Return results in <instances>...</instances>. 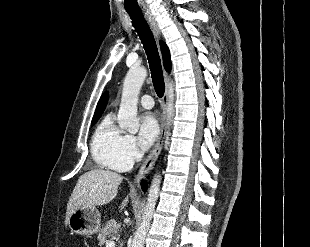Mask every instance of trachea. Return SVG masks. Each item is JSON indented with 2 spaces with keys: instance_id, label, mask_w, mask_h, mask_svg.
Listing matches in <instances>:
<instances>
[{
  "instance_id": "trachea-1",
  "label": "trachea",
  "mask_w": 310,
  "mask_h": 247,
  "mask_svg": "<svg viewBox=\"0 0 310 247\" xmlns=\"http://www.w3.org/2000/svg\"><path fill=\"white\" fill-rule=\"evenodd\" d=\"M127 13L130 15L132 24L141 39L148 58L154 89L158 97L161 98L164 95L165 84L161 60L152 31L140 10H127Z\"/></svg>"
}]
</instances>
